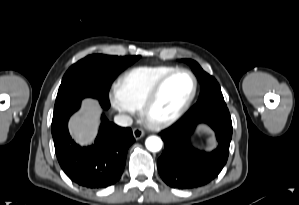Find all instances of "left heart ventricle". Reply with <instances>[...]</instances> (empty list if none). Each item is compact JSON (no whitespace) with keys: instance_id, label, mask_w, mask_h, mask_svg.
Instances as JSON below:
<instances>
[{"instance_id":"1","label":"left heart ventricle","mask_w":299,"mask_h":205,"mask_svg":"<svg viewBox=\"0 0 299 205\" xmlns=\"http://www.w3.org/2000/svg\"><path fill=\"white\" fill-rule=\"evenodd\" d=\"M191 90L192 80L189 75L180 73L172 77L160 92L151 110V117L157 119L174 113L187 100Z\"/></svg>"}]
</instances>
